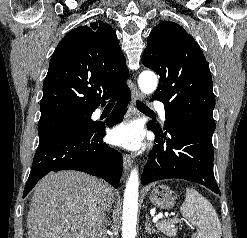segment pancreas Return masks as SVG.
<instances>
[{
    "label": "pancreas",
    "instance_id": "pancreas-1",
    "mask_svg": "<svg viewBox=\"0 0 247 238\" xmlns=\"http://www.w3.org/2000/svg\"><path fill=\"white\" fill-rule=\"evenodd\" d=\"M175 220H164L158 222L155 226L157 228V231L162 232L164 235H167L169 237H175L176 236V228L174 226Z\"/></svg>",
    "mask_w": 247,
    "mask_h": 238
}]
</instances>
